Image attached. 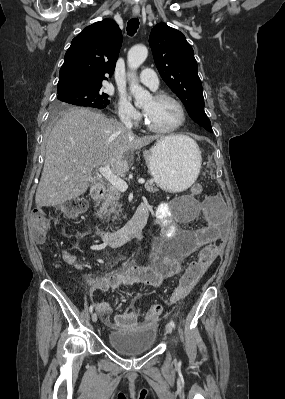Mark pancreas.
<instances>
[{"instance_id": "cf45deb5", "label": "pancreas", "mask_w": 285, "mask_h": 399, "mask_svg": "<svg viewBox=\"0 0 285 399\" xmlns=\"http://www.w3.org/2000/svg\"><path fill=\"white\" fill-rule=\"evenodd\" d=\"M145 189L149 193H155L158 191V188L155 187V184L152 180L146 182ZM120 197H121V192L116 187L114 186L107 187L101 207L98 211L99 217L101 219H105L108 222L112 214H115L113 219H117V215L119 214L117 208L120 207L119 204Z\"/></svg>"}]
</instances>
